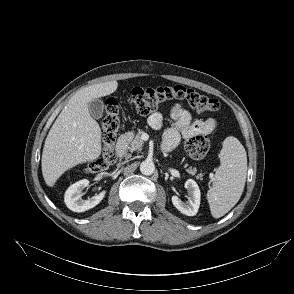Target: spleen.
Listing matches in <instances>:
<instances>
[{"label":"spleen","mask_w":294,"mask_h":294,"mask_svg":"<svg viewBox=\"0 0 294 294\" xmlns=\"http://www.w3.org/2000/svg\"><path fill=\"white\" fill-rule=\"evenodd\" d=\"M221 165L216 170L207 200L214 218L225 215L240 199L247 174V154L240 141L229 136L223 141Z\"/></svg>","instance_id":"obj_1"}]
</instances>
